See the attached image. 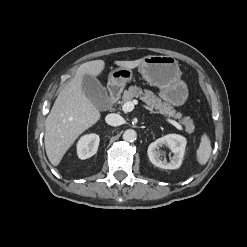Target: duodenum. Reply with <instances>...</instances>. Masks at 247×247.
<instances>
[{
	"mask_svg": "<svg viewBox=\"0 0 247 247\" xmlns=\"http://www.w3.org/2000/svg\"><path fill=\"white\" fill-rule=\"evenodd\" d=\"M118 96H119V91L116 87H110L109 89V102H110V105L114 104L117 99H118Z\"/></svg>",
	"mask_w": 247,
	"mask_h": 247,
	"instance_id": "1",
	"label": "duodenum"
}]
</instances>
